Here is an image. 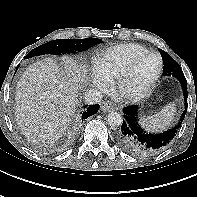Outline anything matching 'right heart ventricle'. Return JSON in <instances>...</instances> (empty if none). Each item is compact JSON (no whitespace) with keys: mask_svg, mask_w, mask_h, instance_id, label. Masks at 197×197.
Returning <instances> with one entry per match:
<instances>
[{"mask_svg":"<svg viewBox=\"0 0 197 197\" xmlns=\"http://www.w3.org/2000/svg\"><path fill=\"white\" fill-rule=\"evenodd\" d=\"M148 49L135 43L120 44L98 52L93 65L98 74L107 80L117 79L128 64Z\"/></svg>","mask_w":197,"mask_h":197,"instance_id":"right-heart-ventricle-1","label":"right heart ventricle"}]
</instances>
